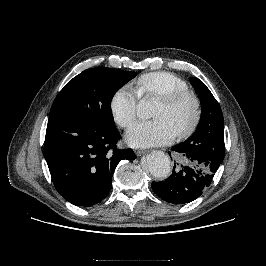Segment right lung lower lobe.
Returning <instances> with one entry per match:
<instances>
[{"mask_svg": "<svg viewBox=\"0 0 266 266\" xmlns=\"http://www.w3.org/2000/svg\"><path fill=\"white\" fill-rule=\"evenodd\" d=\"M120 138L115 127L49 117L43 154L59 194L80 207L103 200L111 190L117 164L136 158L132 149H117Z\"/></svg>", "mask_w": 266, "mask_h": 266, "instance_id": "obj_1", "label": "right lung lower lobe"}]
</instances>
